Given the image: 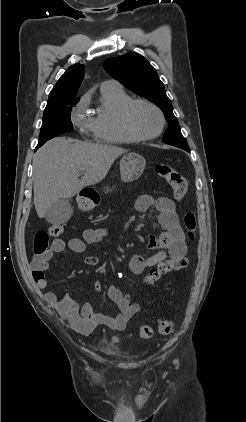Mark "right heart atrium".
<instances>
[{
    "label": "right heart atrium",
    "instance_id": "obj_1",
    "mask_svg": "<svg viewBox=\"0 0 246 422\" xmlns=\"http://www.w3.org/2000/svg\"><path fill=\"white\" fill-rule=\"evenodd\" d=\"M71 121L73 125L84 134L93 132V119L86 115V103L79 101L71 112Z\"/></svg>",
    "mask_w": 246,
    "mask_h": 422
}]
</instances>
